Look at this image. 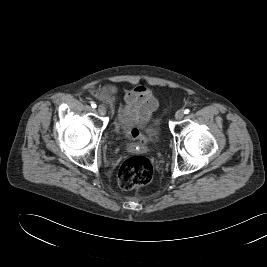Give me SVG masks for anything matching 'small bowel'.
Instances as JSON below:
<instances>
[{"instance_id":"c3829d8e","label":"small bowel","mask_w":267,"mask_h":267,"mask_svg":"<svg viewBox=\"0 0 267 267\" xmlns=\"http://www.w3.org/2000/svg\"><path fill=\"white\" fill-rule=\"evenodd\" d=\"M118 92V88L111 84L107 85L99 96L112 103ZM158 99L152 91L144 86L137 85L124 94V104L120 111V122L123 125L139 124L145 126L149 123L152 113L158 108Z\"/></svg>"}]
</instances>
